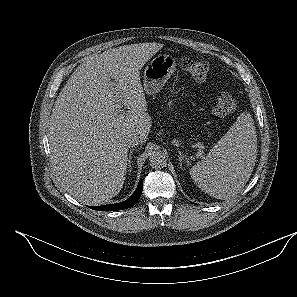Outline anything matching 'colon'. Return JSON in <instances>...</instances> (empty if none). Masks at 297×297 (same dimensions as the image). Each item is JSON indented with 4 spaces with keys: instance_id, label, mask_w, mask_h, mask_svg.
Masks as SVG:
<instances>
[{
    "instance_id": "1",
    "label": "colon",
    "mask_w": 297,
    "mask_h": 297,
    "mask_svg": "<svg viewBox=\"0 0 297 297\" xmlns=\"http://www.w3.org/2000/svg\"><path fill=\"white\" fill-rule=\"evenodd\" d=\"M183 69L198 82L205 81L209 73V65L205 61L186 59L182 62ZM237 104L235 99L227 93L220 94L214 106V115L224 118L235 112Z\"/></svg>"
}]
</instances>
